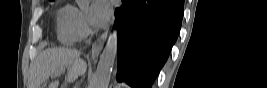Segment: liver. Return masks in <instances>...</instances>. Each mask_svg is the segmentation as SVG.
<instances>
[{
	"instance_id": "obj_1",
	"label": "liver",
	"mask_w": 267,
	"mask_h": 88,
	"mask_svg": "<svg viewBox=\"0 0 267 88\" xmlns=\"http://www.w3.org/2000/svg\"><path fill=\"white\" fill-rule=\"evenodd\" d=\"M68 68L67 81L71 82L80 75L85 74L87 63L80 58V52L70 48L46 49L34 61L29 77L28 88H46L45 83L55 73ZM59 82L55 81L47 88H58Z\"/></svg>"
}]
</instances>
